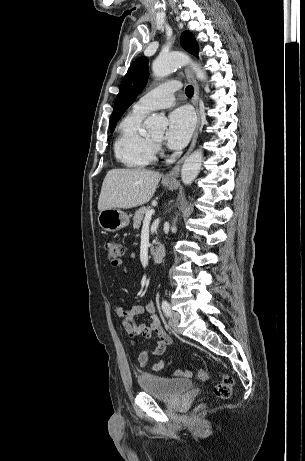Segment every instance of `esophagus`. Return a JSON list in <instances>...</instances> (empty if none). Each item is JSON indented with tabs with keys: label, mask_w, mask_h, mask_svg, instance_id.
<instances>
[{
	"label": "esophagus",
	"mask_w": 305,
	"mask_h": 461,
	"mask_svg": "<svg viewBox=\"0 0 305 461\" xmlns=\"http://www.w3.org/2000/svg\"><path fill=\"white\" fill-rule=\"evenodd\" d=\"M185 74H186V77H187L188 81L190 82V84L194 88V95H193L192 102H193V105L195 107L196 114H197V125H196V128H195L194 135H193L192 142L190 144L189 149L187 150L185 155L176 163V165L164 176V178H163L164 181H176V179H177V177L179 175L182 163L184 162V160L187 158V156L191 153V151L195 147V144H196V141H197V138H198L200 125H201V115H200L199 105H198L199 87H198V84H197V82H196V80L194 78V75H193V73H192V71H191V69L189 67H187L185 69Z\"/></svg>",
	"instance_id": "1"
}]
</instances>
